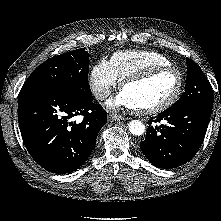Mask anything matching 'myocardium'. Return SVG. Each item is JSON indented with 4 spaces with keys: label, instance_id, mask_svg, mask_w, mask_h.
Returning <instances> with one entry per match:
<instances>
[{
    "label": "myocardium",
    "instance_id": "myocardium-1",
    "mask_svg": "<svg viewBox=\"0 0 221 221\" xmlns=\"http://www.w3.org/2000/svg\"><path fill=\"white\" fill-rule=\"evenodd\" d=\"M165 72H174L177 75L178 85H177L175 92L167 100H165L164 102H162L156 106L146 108V109H134L137 114H139V115L157 114V113L165 111L166 109H168L172 105H174L183 92V88H184V84H185L184 75H183L182 71L180 69H178L177 67L158 66V67H152V68L143 70L141 72H138L136 74H133L131 76H128L127 78H125L121 82L120 89L123 91V89L130 84L139 83V82L148 80L156 75H159V74L165 73Z\"/></svg>",
    "mask_w": 221,
    "mask_h": 221
}]
</instances>
